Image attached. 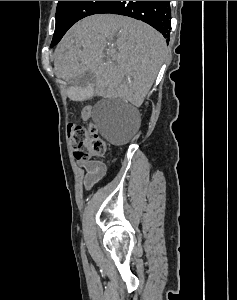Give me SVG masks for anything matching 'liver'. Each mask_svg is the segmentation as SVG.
I'll use <instances>...</instances> for the list:
<instances>
[{
    "instance_id": "1",
    "label": "liver",
    "mask_w": 237,
    "mask_h": 300,
    "mask_svg": "<svg viewBox=\"0 0 237 300\" xmlns=\"http://www.w3.org/2000/svg\"><path fill=\"white\" fill-rule=\"evenodd\" d=\"M166 41L130 17L92 15L73 25L55 51L58 77L95 73L97 91L141 107L163 63Z\"/></svg>"
}]
</instances>
